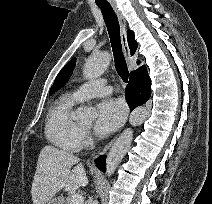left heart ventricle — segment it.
<instances>
[{
    "label": "left heart ventricle",
    "instance_id": "left-heart-ventricle-1",
    "mask_svg": "<svg viewBox=\"0 0 212 204\" xmlns=\"http://www.w3.org/2000/svg\"><path fill=\"white\" fill-rule=\"evenodd\" d=\"M90 125V123L85 124L86 127H88Z\"/></svg>",
    "mask_w": 212,
    "mask_h": 204
}]
</instances>
